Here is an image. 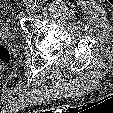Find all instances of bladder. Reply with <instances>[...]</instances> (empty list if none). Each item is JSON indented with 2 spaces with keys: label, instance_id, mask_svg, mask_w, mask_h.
<instances>
[{
  "label": "bladder",
  "instance_id": "31cf9c89",
  "mask_svg": "<svg viewBox=\"0 0 113 113\" xmlns=\"http://www.w3.org/2000/svg\"><path fill=\"white\" fill-rule=\"evenodd\" d=\"M10 36L9 27L4 23L3 15L0 14V38H5Z\"/></svg>",
  "mask_w": 113,
  "mask_h": 113
}]
</instances>
